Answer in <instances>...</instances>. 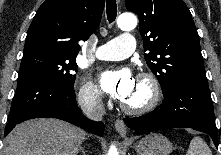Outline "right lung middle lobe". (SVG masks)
<instances>
[{"label": "right lung middle lobe", "mask_w": 221, "mask_h": 155, "mask_svg": "<svg viewBox=\"0 0 221 155\" xmlns=\"http://www.w3.org/2000/svg\"><path fill=\"white\" fill-rule=\"evenodd\" d=\"M77 71L75 58L50 53H34L22 58L18 81L29 75H40L54 82L73 88Z\"/></svg>", "instance_id": "right-lung-middle-lobe-1"}]
</instances>
